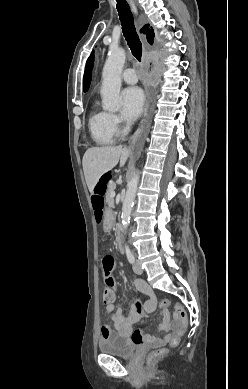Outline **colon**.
I'll return each instance as SVG.
<instances>
[{
    "instance_id": "5ec220e1",
    "label": "colon",
    "mask_w": 248,
    "mask_h": 389,
    "mask_svg": "<svg viewBox=\"0 0 248 389\" xmlns=\"http://www.w3.org/2000/svg\"><path fill=\"white\" fill-rule=\"evenodd\" d=\"M110 180L109 175H100L97 184L94 187V192L91 195V205L93 206L94 210V217L100 218L103 213V205H104V192L107 190V184ZM102 266H103V274H104V283L106 284L107 288L103 291V300L104 303L107 304L109 302H112L115 299V296L113 293L109 292L107 289L109 286L110 290L112 292H116L118 290V283L115 279H112L110 274H115L117 272V269L115 266V259L111 255H106L102 259ZM174 303V309H175V315L177 320V329L175 333L170 338L169 344L170 346H176L179 343L180 338L186 333L188 329V315L187 311L184 308V306L179 302H174L171 299H164L160 301L159 307L162 309H167L171 304ZM133 341H136L134 338ZM165 352V349H157L153 351L150 354V362L153 363L155 360L160 358Z\"/></svg>"
}]
</instances>
